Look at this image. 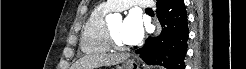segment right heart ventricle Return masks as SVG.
I'll use <instances>...</instances> for the list:
<instances>
[{"mask_svg":"<svg viewBox=\"0 0 246 69\" xmlns=\"http://www.w3.org/2000/svg\"><path fill=\"white\" fill-rule=\"evenodd\" d=\"M112 11L107 2L101 3L92 10L85 23L80 42L82 52L105 53L111 49L107 36L109 24L106 17Z\"/></svg>","mask_w":246,"mask_h":69,"instance_id":"obj_1","label":"right heart ventricle"}]
</instances>
